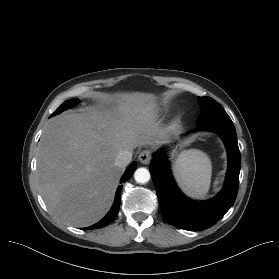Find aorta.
I'll list each match as a JSON object with an SVG mask.
<instances>
[{"label":"aorta","instance_id":"aorta-1","mask_svg":"<svg viewBox=\"0 0 279 279\" xmlns=\"http://www.w3.org/2000/svg\"><path fill=\"white\" fill-rule=\"evenodd\" d=\"M150 178L151 176L149 170L144 167L138 168L134 173V179L137 183H147Z\"/></svg>","mask_w":279,"mask_h":279}]
</instances>
